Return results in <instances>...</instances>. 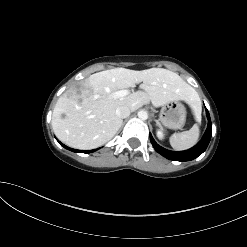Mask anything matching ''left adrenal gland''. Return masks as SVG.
Segmentation results:
<instances>
[{
  "instance_id": "obj_1",
  "label": "left adrenal gland",
  "mask_w": 247,
  "mask_h": 247,
  "mask_svg": "<svg viewBox=\"0 0 247 247\" xmlns=\"http://www.w3.org/2000/svg\"><path fill=\"white\" fill-rule=\"evenodd\" d=\"M155 122H156L157 126H159V127L161 126L160 122L157 119H155Z\"/></svg>"
}]
</instances>
